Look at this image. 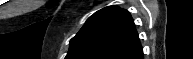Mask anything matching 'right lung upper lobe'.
<instances>
[{"label":"right lung upper lobe","instance_id":"right-lung-upper-lobe-1","mask_svg":"<svg viewBox=\"0 0 193 59\" xmlns=\"http://www.w3.org/2000/svg\"><path fill=\"white\" fill-rule=\"evenodd\" d=\"M141 49L130 13L108 6L94 13L71 39L65 59H128Z\"/></svg>","mask_w":193,"mask_h":59}]
</instances>
